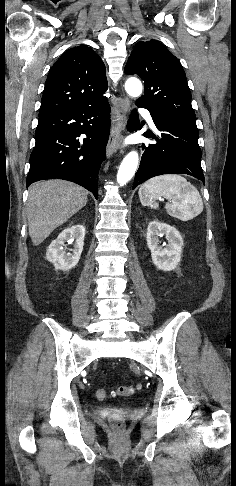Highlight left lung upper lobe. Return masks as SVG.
<instances>
[{
    "label": "left lung upper lobe",
    "instance_id": "5c2ea615",
    "mask_svg": "<svg viewBox=\"0 0 236 486\" xmlns=\"http://www.w3.org/2000/svg\"><path fill=\"white\" fill-rule=\"evenodd\" d=\"M144 81V95L136 102L176 123L196 127L191 92L179 60L156 40L138 42L125 67Z\"/></svg>",
    "mask_w": 236,
    "mask_h": 486
}]
</instances>
